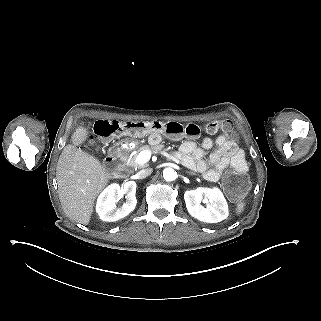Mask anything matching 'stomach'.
Instances as JSON below:
<instances>
[{
	"label": "stomach",
	"mask_w": 321,
	"mask_h": 321,
	"mask_svg": "<svg viewBox=\"0 0 321 321\" xmlns=\"http://www.w3.org/2000/svg\"><path fill=\"white\" fill-rule=\"evenodd\" d=\"M124 142H129L128 140H122V141H119L117 142L114 146L117 147V146H120L121 144H123Z\"/></svg>",
	"instance_id": "1"
}]
</instances>
